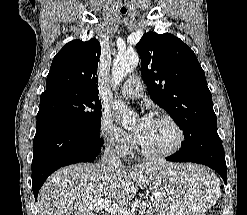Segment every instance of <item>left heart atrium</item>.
<instances>
[{
	"mask_svg": "<svg viewBox=\"0 0 247 215\" xmlns=\"http://www.w3.org/2000/svg\"><path fill=\"white\" fill-rule=\"evenodd\" d=\"M151 117L145 116L140 119L138 122V128L136 133H140L151 121Z\"/></svg>",
	"mask_w": 247,
	"mask_h": 215,
	"instance_id": "1",
	"label": "left heart atrium"
}]
</instances>
